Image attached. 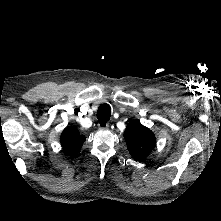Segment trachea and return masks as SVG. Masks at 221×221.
Returning a JSON list of instances; mask_svg holds the SVG:
<instances>
[{
	"label": "trachea",
	"instance_id": "trachea-1",
	"mask_svg": "<svg viewBox=\"0 0 221 221\" xmlns=\"http://www.w3.org/2000/svg\"><path fill=\"white\" fill-rule=\"evenodd\" d=\"M111 108L108 104H102L97 111V118L102 122H107L110 119Z\"/></svg>",
	"mask_w": 221,
	"mask_h": 221
}]
</instances>
